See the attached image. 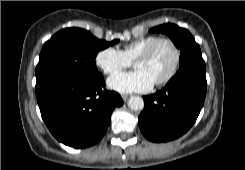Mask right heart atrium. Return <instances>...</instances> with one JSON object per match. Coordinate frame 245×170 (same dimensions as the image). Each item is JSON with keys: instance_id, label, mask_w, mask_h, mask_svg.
Instances as JSON below:
<instances>
[{"instance_id": "d8ad5b80", "label": "right heart atrium", "mask_w": 245, "mask_h": 170, "mask_svg": "<svg viewBox=\"0 0 245 170\" xmlns=\"http://www.w3.org/2000/svg\"><path fill=\"white\" fill-rule=\"evenodd\" d=\"M95 64L106 74H113L129 67L131 61L122 50L108 46L99 50L95 56Z\"/></svg>"}]
</instances>
